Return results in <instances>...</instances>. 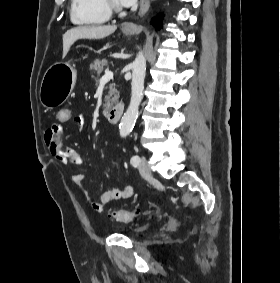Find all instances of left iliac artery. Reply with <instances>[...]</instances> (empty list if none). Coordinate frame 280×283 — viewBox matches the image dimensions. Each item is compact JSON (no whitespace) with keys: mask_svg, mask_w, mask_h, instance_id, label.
Listing matches in <instances>:
<instances>
[{"mask_svg":"<svg viewBox=\"0 0 280 283\" xmlns=\"http://www.w3.org/2000/svg\"><path fill=\"white\" fill-rule=\"evenodd\" d=\"M131 164L134 166V167H137L139 162H140V158L139 156L135 155L131 158Z\"/></svg>","mask_w":280,"mask_h":283,"instance_id":"44dca946","label":"left iliac artery"}]
</instances>
